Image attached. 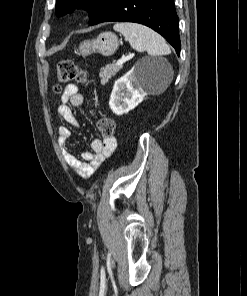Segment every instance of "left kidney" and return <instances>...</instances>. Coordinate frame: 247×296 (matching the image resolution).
I'll return each instance as SVG.
<instances>
[{"instance_id":"obj_1","label":"left kidney","mask_w":247,"mask_h":296,"mask_svg":"<svg viewBox=\"0 0 247 296\" xmlns=\"http://www.w3.org/2000/svg\"><path fill=\"white\" fill-rule=\"evenodd\" d=\"M152 65L137 62L133 68L123 77L118 79L114 86L109 100L110 109L117 115L128 113L138 106L148 95L146 88L149 83L156 80L161 67H156L153 72Z\"/></svg>"}]
</instances>
